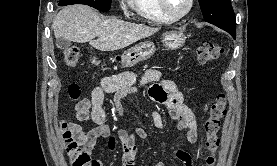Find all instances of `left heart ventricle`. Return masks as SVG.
<instances>
[{"label": "left heart ventricle", "instance_id": "1", "mask_svg": "<svg viewBox=\"0 0 277 166\" xmlns=\"http://www.w3.org/2000/svg\"><path fill=\"white\" fill-rule=\"evenodd\" d=\"M169 9L176 14L183 12L188 5V0H166Z\"/></svg>", "mask_w": 277, "mask_h": 166}]
</instances>
